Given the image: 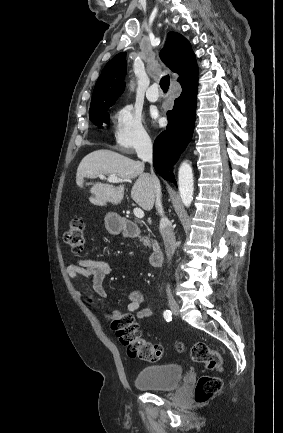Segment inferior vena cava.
I'll use <instances>...</instances> for the list:
<instances>
[{
	"label": "inferior vena cava",
	"instance_id": "1",
	"mask_svg": "<svg viewBox=\"0 0 283 433\" xmlns=\"http://www.w3.org/2000/svg\"><path fill=\"white\" fill-rule=\"evenodd\" d=\"M137 154H138L139 158H142V160H147V162H152V158H153V156H152V142H151L150 138H148V140H143L141 146H139V148H137ZM150 178L154 184V188H155V192H156V202H155L156 208H157L159 214H162V219H161L162 227L160 229V233L163 237L166 257H167L168 261H171L173 255L175 253V249H176L177 245H176V241H175V235H174L173 229L171 227V223H168L166 217H163L164 210H163V206H162V202H161V186H160L159 178H157L153 168H151ZM166 291H167V293H170V291H171L170 285H167Z\"/></svg>",
	"mask_w": 283,
	"mask_h": 433
}]
</instances>
